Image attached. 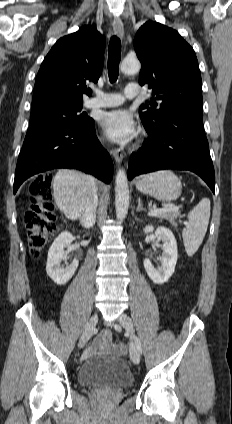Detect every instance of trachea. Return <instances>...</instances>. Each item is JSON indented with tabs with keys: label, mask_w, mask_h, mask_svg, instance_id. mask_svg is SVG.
Listing matches in <instances>:
<instances>
[{
	"label": "trachea",
	"mask_w": 232,
	"mask_h": 424,
	"mask_svg": "<svg viewBox=\"0 0 232 424\" xmlns=\"http://www.w3.org/2000/svg\"><path fill=\"white\" fill-rule=\"evenodd\" d=\"M121 60V41L117 36H113L108 48V74L110 82L113 83L118 78L119 63Z\"/></svg>",
	"instance_id": "1"
}]
</instances>
